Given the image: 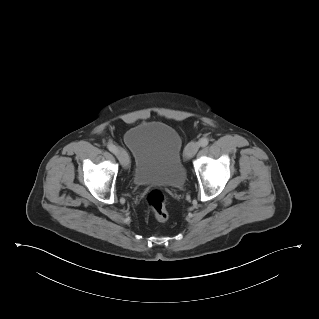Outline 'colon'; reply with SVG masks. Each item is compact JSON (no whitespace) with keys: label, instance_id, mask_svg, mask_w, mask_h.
<instances>
[{"label":"colon","instance_id":"1","mask_svg":"<svg viewBox=\"0 0 319 319\" xmlns=\"http://www.w3.org/2000/svg\"><path fill=\"white\" fill-rule=\"evenodd\" d=\"M146 202L158 221L165 222L168 219L166 197L162 191L157 189L150 191L146 197Z\"/></svg>","mask_w":319,"mask_h":319}]
</instances>
